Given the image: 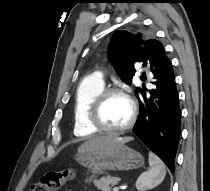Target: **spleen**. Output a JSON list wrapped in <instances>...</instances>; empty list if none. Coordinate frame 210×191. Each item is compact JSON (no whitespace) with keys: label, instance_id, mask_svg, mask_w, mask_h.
Masks as SVG:
<instances>
[{"label":"spleen","instance_id":"obj_1","mask_svg":"<svg viewBox=\"0 0 210 191\" xmlns=\"http://www.w3.org/2000/svg\"><path fill=\"white\" fill-rule=\"evenodd\" d=\"M150 170L143 172L136 181L139 191L150 190L159 185L165 178L166 169L161 159L154 153H149Z\"/></svg>","mask_w":210,"mask_h":191}]
</instances>
